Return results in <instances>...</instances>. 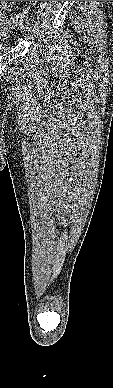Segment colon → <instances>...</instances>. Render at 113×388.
Wrapping results in <instances>:
<instances>
[{
    "mask_svg": "<svg viewBox=\"0 0 113 388\" xmlns=\"http://www.w3.org/2000/svg\"><path fill=\"white\" fill-rule=\"evenodd\" d=\"M3 2H5V1H3ZM0 4H1V1H0ZM23 17H24L23 14H17V15H14L13 17H11L10 21L14 24H20L23 20Z\"/></svg>",
    "mask_w": 113,
    "mask_h": 388,
    "instance_id": "1",
    "label": "colon"
}]
</instances>
